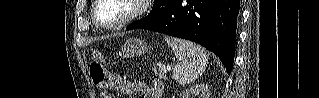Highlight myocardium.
Listing matches in <instances>:
<instances>
[{
	"instance_id": "myocardium-1",
	"label": "myocardium",
	"mask_w": 319,
	"mask_h": 98,
	"mask_svg": "<svg viewBox=\"0 0 319 98\" xmlns=\"http://www.w3.org/2000/svg\"><path fill=\"white\" fill-rule=\"evenodd\" d=\"M102 1L104 0H95L93 7H92V11H91V17H92V21L95 24V26H97L98 28L104 29V30H112V29H117L123 26H126L134 21H136L137 19H139L141 16H143L148 7H149V3L151 1L149 0H130L134 6L133 11L127 15L126 17L122 18L121 20H118L114 23L111 24H102L97 17V10L99 5L102 3Z\"/></svg>"
}]
</instances>
